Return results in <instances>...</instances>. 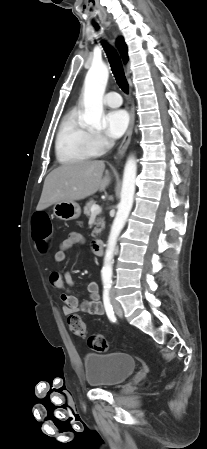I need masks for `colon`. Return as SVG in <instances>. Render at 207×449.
Returning a JSON list of instances; mask_svg holds the SVG:
<instances>
[{"label":"colon","instance_id":"colon-1","mask_svg":"<svg viewBox=\"0 0 207 449\" xmlns=\"http://www.w3.org/2000/svg\"><path fill=\"white\" fill-rule=\"evenodd\" d=\"M33 221V239L38 250L45 253L49 247L52 238L53 228L49 216L45 212H37L32 217ZM68 325L71 333L78 337H85L87 330L83 319L78 315H69ZM89 346L97 352H106L108 342L103 335L94 334L88 339Z\"/></svg>","mask_w":207,"mask_h":449}]
</instances>
